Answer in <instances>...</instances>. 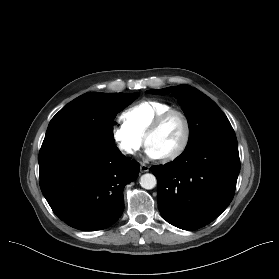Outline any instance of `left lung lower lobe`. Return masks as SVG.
Returning a JSON list of instances; mask_svg holds the SVG:
<instances>
[{"instance_id": "0a47b994", "label": "left lung lower lobe", "mask_w": 279, "mask_h": 279, "mask_svg": "<svg viewBox=\"0 0 279 279\" xmlns=\"http://www.w3.org/2000/svg\"><path fill=\"white\" fill-rule=\"evenodd\" d=\"M158 206L163 218L183 230L217 218L233 199L240 160L235 135L203 139L172 163L156 165Z\"/></svg>"}]
</instances>
